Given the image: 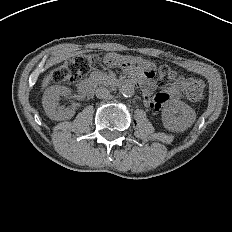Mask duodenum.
I'll return each instance as SVG.
<instances>
[{
	"instance_id": "410a0bca",
	"label": "duodenum",
	"mask_w": 232,
	"mask_h": 232,
	"mask_svg": "<svg viewBox=\"0 0 232 232\" xmlns=\"http://www.w3.org/2000/svg\"><path fill=\"white\" fill-rule=\"evenodd\" d=\"M137 83V82H135ZM78 90L87 97H90L93 94V85L90 81L84 80L77 85Z\"/></svg>"
}]
</instances>
